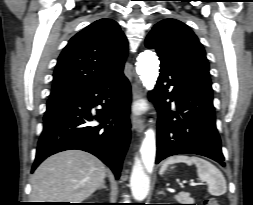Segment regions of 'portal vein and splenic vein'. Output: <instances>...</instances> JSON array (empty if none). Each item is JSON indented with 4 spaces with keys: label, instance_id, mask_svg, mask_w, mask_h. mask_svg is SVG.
I'll return each instance as SVG.
<instances>
[{
    "label": "portal vein and splenic vein",
    "instance_id": "18ae733b",
    "mask_svg": "<svg viewBox=\"0 0 253 205\" xmlns=\"http://www.w3.org/2000/svg\"><path fill=\"white\" fill-rule=\"evenodd\" d=\"M197 185H198V183H195V182L190 183V186H197Z\"/></svg>",
    "mask_w": 253,
    "mask_h": 205
}]
</instances>
